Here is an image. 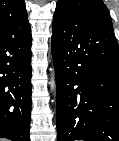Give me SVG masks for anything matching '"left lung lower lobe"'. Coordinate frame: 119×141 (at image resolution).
<instances>
[{"label":"left lung lower lobe","instance_id":"obj_1","mask_svg":"<svg viewBox=\"0 0 119 141\" xmlns=\"http://www.w3.org/2000/svg\"><path fill=\"white\" fill-rule=\"evenodd\" d=\"M57 141H119V47L112 23L54 13Z\"/></svg>","mask_w":119,"mask_h":141}]
</instances>
